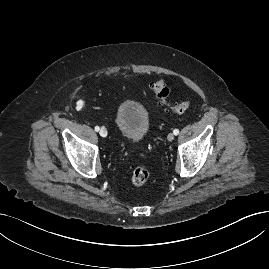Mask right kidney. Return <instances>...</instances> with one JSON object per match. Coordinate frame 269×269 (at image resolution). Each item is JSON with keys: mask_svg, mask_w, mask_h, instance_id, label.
<instances>
[{"mask_svg": "<svg viewBox=\"0 0 269 269\" xmlns=\"http://www.w3.org/2000/svg\"><path fill=\"white\" fill-rule=\"evenodd\" d=\"M82 106H83V101H78V107L82 108Z\"/></svg>", "mask_w": 269, "mask_h": 269, "instance_id": "ca27d5eb", "label": "right kidney"}]
</instances>
